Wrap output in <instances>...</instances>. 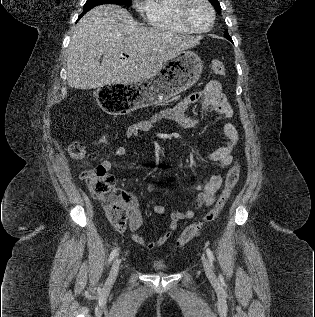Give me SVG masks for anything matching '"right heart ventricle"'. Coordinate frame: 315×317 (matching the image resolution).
<instances>
[{"label": "right heart ventricle", "instance_id": "1", "mask_svg": "<svg viewBox=\"0 0 315 317\" xmlns=\"http://www.w3.org/2000/svg\"><path fill=\"white\" fill-rule=\"evenodd\" d=\"M179 3L180 0H150L146 10L149 25L170 32L192 33L178 18L177 10Z\"/></svg>", "mask_w": 315, "mask_h": 317}]
</instances>
